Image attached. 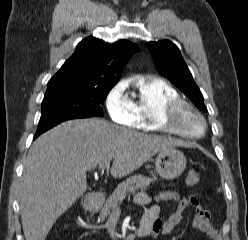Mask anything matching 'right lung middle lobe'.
<instances>
[{
    "label": "right lung middle lobe",
    "instance_id": "1",
    "mask_svg": "<svg viewBox=\"0 0 248 240\" xmlns=\"http://www.w3.org/2000/svg\"><path fill=\"white\" fill-rule=\"evenodd\" d=\"M110 89L61 88L46 91L39 124L102 117L101 104Z\"/></svg>",
    "mask_w": 248,
    "mask_h": 240
}]
</instances>
